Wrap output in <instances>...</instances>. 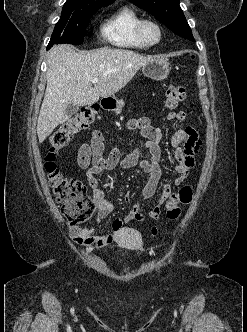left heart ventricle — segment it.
Wrapping results in <instances>:
<instances>
[{"instance_id":"obj_1","label":"left heart ventricle","mask_w":247,"mask_h":332,"mask_svg":"<svg viewBox=\"0 0 247 332\" xmlns=\"http://www.w3.org/2000/svg\"><path fill=\"white\" fill-rule=\"evenodd\" d=\"M144 34L149 41H155L158 38L157 29L153 25H146Z\"/></svg>"}]
</instances>
